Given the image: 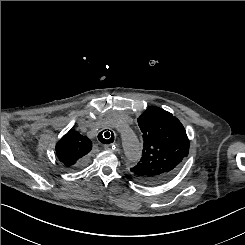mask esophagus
<instances>
[{"mask_svg": "<svg viewBox=\"0 0 245 245\" xmlns=\"http://www.w3.org/2000/svg\"><path fill=\"white\" fill-rule=\"evenodd\" d=\"M103 147H104L105 150H108V151L113 149V145L112 144H105Z\"/></svg>", "mask_w": 245, "mask_h": 245, "instance_id": "obj_1", "label": "esophagus"}]
</instances>
